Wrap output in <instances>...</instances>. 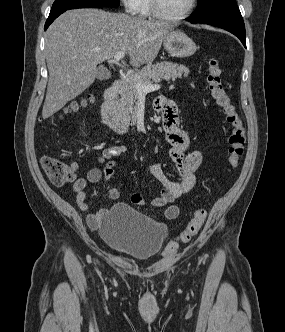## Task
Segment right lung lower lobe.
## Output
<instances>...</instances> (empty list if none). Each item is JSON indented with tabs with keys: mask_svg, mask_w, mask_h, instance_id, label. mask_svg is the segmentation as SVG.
Segmentation results:
<instances>
[{
	"mask_svg": "<svg viewBox=\"0 0 285 332\" xmlns=\"http://www.w3.org/2000/svg\"><path fill=\"white\" fill-rule=\"evenodd\" d=\"M66 10H60V11H53V12H50L49 14V17L45 23V27L44 29L46 30L49 25L60 15L62 14L63 12H65Z\"/></svg>",
	"mask_w": 285,
	"mask_h": 332,
	"instance_id": "98d812e1",
	"label": "right lung lower lobe"
}]
</instances>
